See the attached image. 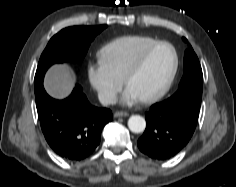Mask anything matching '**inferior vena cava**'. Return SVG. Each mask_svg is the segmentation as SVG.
Wrapping results in <instances>:
<instances>
[{
  "mask_svg": "<svg viewBox=\"0 0 236 187\" xmlns=\"http://www.w3.org/2000/svg\"><path fill=\"white\" fill-rule=\"evenodd\" d=\"M98 98L100 103L104 106L115 104L117 101L116 95L114 93H108V92L99 93Z\"/></svg>",
  "mask_w": 236,
  "mask_h": 187,
  "instance_id": "1",
  "label": "inferior vena cava"
}]
</instances>
